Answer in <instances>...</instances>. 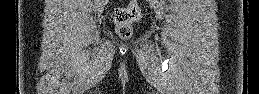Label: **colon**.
Instances as JSON below:
<instances>
[{
	"instance_id": "obj_1",
	"label": "colon",
	"mask_w": 259,
	"mask_h": 94,
	"mask_svg": "<svg viewBox=\"0 0 259 94\" xmlns=\"http://www.w3.org/2000/svg\"><path fill=\"white\" fill-rule=\"evenodd\" d=\"M140 7L137 1H130L125 7L115 11V23L118 34L123 38H128L132 32V24L140 19Z\"/></svg>"
}]
</instances>
